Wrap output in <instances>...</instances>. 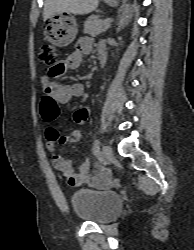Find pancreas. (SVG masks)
<instances>
[{
	"label": "pancreas",
	"instance_id": "obj_1",
	"mask_svg": "<svg viewBox=\"0 0 194 250\" xmlns=\"http://www.w3.org/2000/svg\"><path fill=\"white\" fill-rule=\"evenodd\" d=\"M110 24H105L99 16L92 15L84 23V33L92 36L99 35L109 28Z\"/></svg>",
	"mask_w": 194,
	"mask_h": 250
}]
</instances>
